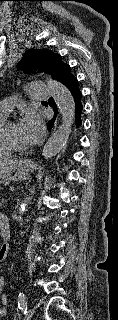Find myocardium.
<instances>
[{
  "label": "myocardium",
  "instance_id": "obj_1",
  "mask_svg": "<svg viewBox=\"0 0 118 320\" xmlns=\"http://www.w3.org/2000/svg\"><path fill=\"white\" fill-rule=\"evenodd\" d=\"M15 123L12 120H4V122L0 126V142L9 150L14 152H24L27 150L26 146H18L12 143L8 137L6 136V128L8 125Z\"/></svg>",
  "mask_w": 118,
  "mask_h": 320
}]
</instances>
